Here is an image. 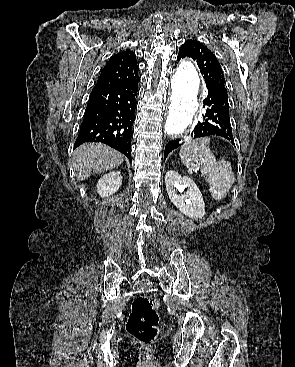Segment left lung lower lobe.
I'll return each instance as SVG.
<instances>
[{"instance_id":"0a47b994","label":"left lung lower lobe","mask_w":295,"mask_h":367,"mask_svg":"<svg viewBox=\"0 0 295 367\" xmlns=\"http://www.w3.org/2000/svg\"><path fill=\"white\" fill-rule=\"evenodd\" d=\"M206 87L208 91L203 103L204 107L206 106L207 108L190 135L192 138L210 135L221 136L235 145L229 117L227 89L225 86L212 82L208 83ZM180 140L181 138L171 140L166 145L164 160L172 150L181 145Z\"/></svg>"}]
</instances>
